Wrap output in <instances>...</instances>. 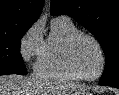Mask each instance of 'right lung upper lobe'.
<instances>
[{"instance_id":"1","label":"right lung upper lobe","mask_w":119,"mask_h":95,"mask_svg":"<svg viewBox=\"0 0 119 95\" xmlns=\"http://www.w3.org/2000/svg\"><path fill=\"white\" fill-rule=\"evenodd\" d=\"M44 0H0V29L11 25H32L42 10Z\"/></svg>"}]
</instances>
